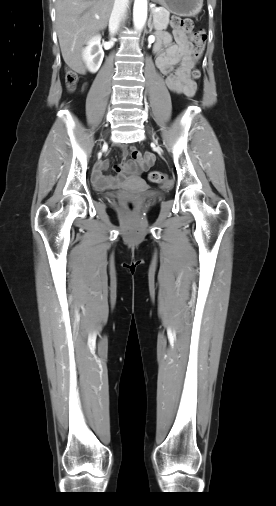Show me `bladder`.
<instances>
[{
  "label": "bladder",
  "mask_w": 276,
  "mask_h": 506,
  "mask_svg": "<svg viewBox=\"0 0 276 506\" xmlns=\"http://www.w3.org/2000/svg\"><path fill=\"white\" fill-rule=\"evenodd\" d=\"M146 195L149 197H152V198H161L162 197V193H160L159 191H147ZM114 196H116V194H114V193L106 194L107 198H113Z\"/></svg>",
  "instance_id": "bladder-1"
}]
</instances>
